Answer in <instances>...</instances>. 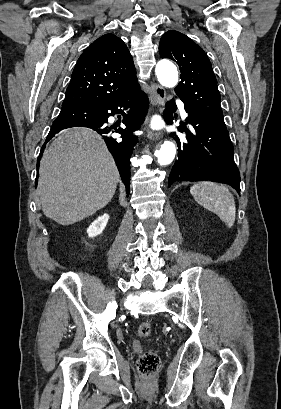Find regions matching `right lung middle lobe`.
<instances>
[{
  "mask_svg": "<svg viewBox=\"0 0 281 409\" xmlns=\"http://www.w3.org/2000/svg\"><path fill=\"white\" fill-rule=\"evenodd\" d=\"M86 122L84 117L59 116L52 126H78Z\"/></svg>",
  "mask_w": 281,
  "mask_h": 409,
  "instance_id": "obj_1",
  "label": "right lung middle lobe"
}]
</instances>
